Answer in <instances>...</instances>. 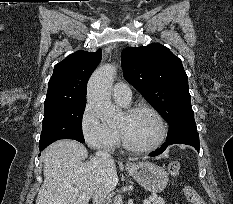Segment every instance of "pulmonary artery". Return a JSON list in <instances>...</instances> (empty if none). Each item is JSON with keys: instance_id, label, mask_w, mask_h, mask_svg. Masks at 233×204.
Masks as SVG:
<instances>
[{"instance_id": "e3ab8cb5", "label": "pulmonary artery", "mask_w": 233, "mask_h": 204, "mask_svg": "<svg viewBox=\"0 0 233 204\" xmlns=\"http://www.w3.org/2000/svg\"><path fill=\"white\" fill-rule=\"evenodd\" d=\"M113 98L121 105H128L132 98L130 87L122 82H118L113 87Z\"/></svg>"}]
</instances>
